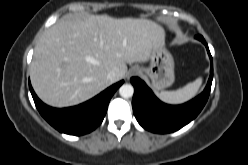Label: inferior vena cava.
I'll return each instance as SVG.
<instances>
[{
  "label": "inferior vena cava",
  "instance_id": "1",
  "mask_svg": "<svg viewBox=\"0 0 248 165\" xmlns=\"http://www.w3.org/2000/svg\"><path fill=\"white\" fill-rule=\"evenodd\" d=\"M116 78H117V73H116L115 71H111V72H109L108 75H107V79H108L111 83L115 82V81H116Z\"/></svg>",
  "mask_w": 248,
  "mask_h": 165
}]
</instances>
